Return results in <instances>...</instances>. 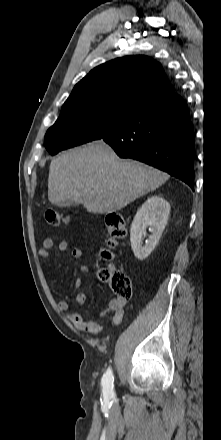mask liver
Here are the masks:
<instances>
[{
	"label": "liver",
	"instance_id": "1",
	"mask_svg": "<svg viewBox=\"0 0 221 440\" xmlns=\"http://www.w3.org/2000/svg\"><path fill=\"white\" fill-rule=\"evenodd\" d=\"M169 176L137 161L121 160L103 141L53 159L48 177L52 204L74 201L89 213H113L158 188Z\"/></svg>",
	"mask_w": 221,
	"mask_h": 440
}]
</instances>
